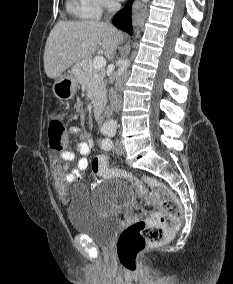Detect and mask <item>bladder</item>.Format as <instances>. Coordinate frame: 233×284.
I'll return each instance as SVG.
<instances>
[{"label":"bladder","instance_id":"31cf9c89","mask_svg":"<svg viewBox=\"0 0 233 284\" xmlns=\"http://www.w3.org/2000/svg\"><path fill=\"white\" fill-rule=\"evenodd\" d=\"M133 196L131 187L122 180H114L104 187L99 199L82 185L71 189L67 215L72 228L79 234L87 235L94 242L108 246L121 227V221L103 214L101 205H124Z\"/></svg>","mask_w":233,"mask_h":284}]
</instances>
